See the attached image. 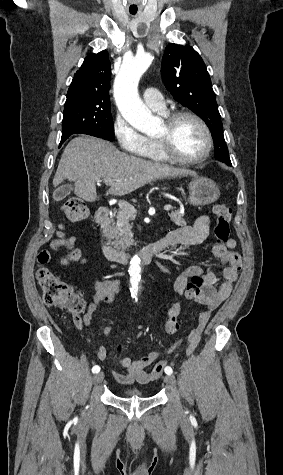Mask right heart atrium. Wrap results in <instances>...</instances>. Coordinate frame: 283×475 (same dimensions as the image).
Returning a JSON list of instances; mask_svg holds the SVG:
<instances>
[{
	"label": "right heart atrium",
	"mask_w": 283,
	"mask_h": 475,
	"mask_svg": "<svg viewBox=\"0 0 283 475\" xmlns=\"http://www.w3.org/2000/svg\"><path fill=\"white\" fill-rule=\"evenodd\" d=\"M111 129L117 140L121 155H141V158L147 155L148 139L132 127L129 121L119 112L112 121Z\"/></svg>",
	"instance_id": "right-heart-atrium-1"
}]
</instances>
